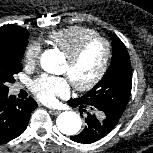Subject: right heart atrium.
Instances as JSON below:
<instances>
[{
  "instance_id": "1",
  "label": "right heart atrium",
  "mask_w": 153,
  "mask_h": 153,
  "mask_svg": "<svg viewBox=\"0 0 153 153\" xmlns=\"http://www.w3.org/2000/svg\"><path fill=\"white\" fill-rule=\"evenodd\" d=\"M41 55V46L38 42L33 41L31 42L24 53V60L26 65L34 66L38 63L39 58Z\"/></svg>"
}]
</instances>
